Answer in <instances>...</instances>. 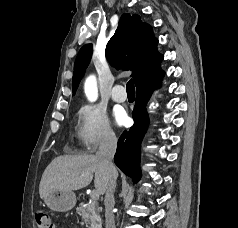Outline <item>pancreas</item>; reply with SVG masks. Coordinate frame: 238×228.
<instances>
[{
	"mask_svg": "<svg viewBox=\"0 0 238 228\" xmlns=\"http://www.w3.org/2000/svg\"><path fill=\"white\" fill-rule=\"evenodd\" d=\"M76 211L88 225V228H101L100 209L96 200H91L88 204L80 203Z\"/></svg>",
	"mask_w": 238,
	"mask_h": 228,
	"instance_id": "obj_1",
	"label": "pancreas"
}]
</instances>
